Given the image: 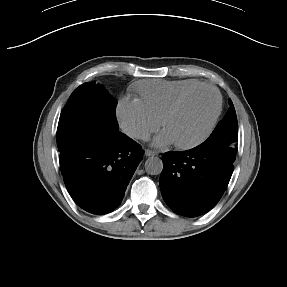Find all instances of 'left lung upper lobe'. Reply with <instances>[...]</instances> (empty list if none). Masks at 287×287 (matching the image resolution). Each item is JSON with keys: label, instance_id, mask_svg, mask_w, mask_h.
Here are the masks:
<instances>
[{"label": "left lung upper lobe", "instance_id": "obj_1", "mask_svg": "<svg viewBox=\"0 0 287 287\" xmlns=\"http://www.w3.org/2000/svg\"><path fill=\"white\" fill-rule=\"evenodd\" d=\"M230 108L210 137L204 142L206 145L222 152L232 163L236 158V142L238 141V123L232 101Z\"/></svg>", "mask_w": 287, "mask_h": 287}]
</instances>
